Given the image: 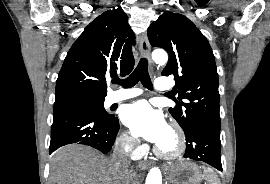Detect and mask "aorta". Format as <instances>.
I'll list each match as a JSON object with an SVG mask.
<instances>
[{"label": "aorta", "mask_w": 270, "mask_h": 184, "mask_svg": "<svg viewBox=\"0 0 270 184\" xmlns=\"http://www.w3.org/2000/svg\"><path fill=\"white\" fill-rule=\"evenodd\" d=\"M152 59L157 64H164L168 60V56L165 51H154L152 53ZM145 184H162V175L158 167H153L149 171Z\"/></svg>", "instance_id": "obj_1"}]
</instances>
